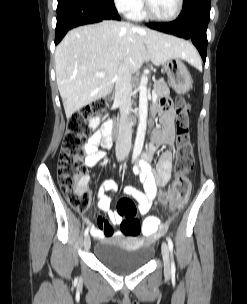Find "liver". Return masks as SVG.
Here are the masks:
<instances>
[{"instance_id":"6515ba94","label":"liver","mask_w":247,"mask_h":304,"mask_svg":"<svg viewBox=\"0 0 247 304\" xmlns=\"http://www.w3.org/2000/svg\"><path fill=\"white\" fill-rule=\"evenodd\" d=\"M173 58L192 63L198 54L185 40L127 22L103 21L72 29L55 51L56 82L66 117L107 96L122 64L135 73L144 62L159 66Z\"/></svg>"}]
</instances>
